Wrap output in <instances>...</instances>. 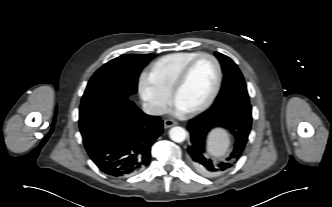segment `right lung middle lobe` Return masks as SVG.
<instances>
[{
	"mask_svg": "<svg viewBox=\"0 0 332 207\" xmlns=\"http://www.w3.org/2000/svg\"><path fill=\"white\" fill-rule=\"evenodd\" d=\"M155 56V54H125L109 61L91 77L81 104L108 95L129 97L136 93L142 68Z\"/></svg>",
	"mask_w": 332,
	"mask_h": 207,
	"instance_id": "obj_1",
	"label": "right lung middle lobe"
}]
</instances>
